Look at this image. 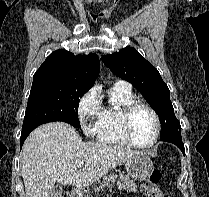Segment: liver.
<instances>
[{"mask_svg":"<svg viewBox=\"0 0 209 197\" xmlns=\"http://www.w3.org/2000/svg\"><path fill=\"white\" fill-rule=\"evenodd\" d=\"M139 153L107 143L83 142L64 122L41 125L28 136L22 149L20 164L26 197H49L56 182L88 187ZM80 161L84 165L76 172Z\"/></svg>","mask_w":209,"mask_h":197,"instance_id":"obj_1","label":"liver"}]
</instances>
